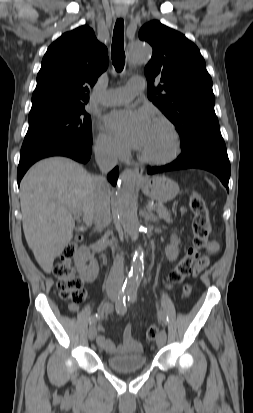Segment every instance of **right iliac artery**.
Segmentation results:
<instances>
[{
    "label": "right iliac artery",
    "instance_id": "obj_1",
    "mask_svg": "<svg viewBox=\"0 0 253 413\" xmlns=\"http://www.w3.org/2000/svg\"><path fill=\"white\" fill-rule=\"evenodd\" d=\"M128 294L127 290L122 289V291H120L119 295H118V299L115 305V309L116 312L119 315H124L127 311V306H126V296ZM100 318V316L98 314L94 315L93 317H91L89 319V323L90 325H93L95 322H97V320Z\"/></svg>",
    "mask_w": 253,
    "mask_h": 413
}]
</instances>
